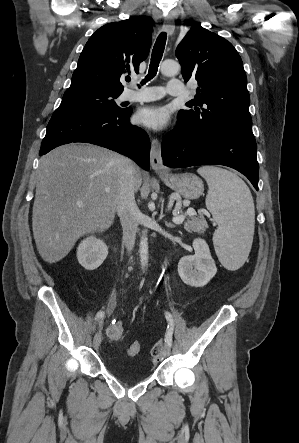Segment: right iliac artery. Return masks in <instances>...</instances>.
I'll return each instance as SVG.
<instances>
[{"label":"right iliac artery","instance_id":"obj_1","mask_svg":"<svg viewBox=\"0 0 299 443\" xmlns=\"http://www.w3.org/2000/svg\"><path fill=\"white\" fill-rule=\"evenodd\" d=\"M105 315L104 311H99L96 315V320L103 318Z\"/></svg>","mask_w":299,"mask_h":443}]
</instances>
